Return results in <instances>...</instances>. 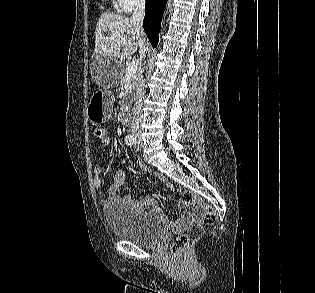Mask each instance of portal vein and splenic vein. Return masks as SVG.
Returning a JSON list of instances; mask_svg holds the SVG:
<instances>
[{
    "label": "portal vein and splenic vein",
    "mask_w": 315,
    "mask_h": 293,
    "mask_svg": "<svg viewBox=\"0 0 315 293\" xmlns=\"http://www.w3.org/2000/svg\"><path fill=\"white\" fill-rule=\"evenodd\" d=\"M137 69H138L137 63L134 61L131 62L126 68L125 77L131 78L133 74L137 72Z\"/></svg>",
    "instance_id": "portal-vein-and-splenic-vein-1"
}]
</instances>
